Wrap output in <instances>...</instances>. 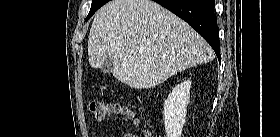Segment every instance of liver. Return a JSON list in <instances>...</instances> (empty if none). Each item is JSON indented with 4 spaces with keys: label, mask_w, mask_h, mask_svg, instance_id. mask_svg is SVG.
<instances>
[{
    "label": "liver",
    "mask_w": 280,
    "mask_h": 137,
    "mask_svg": "<svg viewBox=\"0 0 280 137\" xmlns=\"http://www.w3.org/2000/svg\"><path fill=\"white\" fill-rule=\"evenodd\" d=\"M92 68L113 61V76L151 88L187 68L211 61L208 43L185 21L151 0H112L95 15L89 38Z\"/></svg>",
    "instance_id": "obj_1"
}]
</instances>
